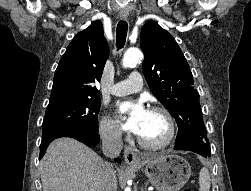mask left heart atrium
Masks as SVG:
<instances>
[{"instance_id":"39dd6f15","label":"left heart atrium","mask_w":251,"mask_h":191,"mask_svg":"<svg viewBox=\"0 0 251 191\" xmlns=\"http://www.w3.org/2000/svg\"><path fill=\"white\" fill-rule=\"evenodd\" d=\"M149 110L141 102L124 101L117 105L116 114L124 130L139 134Z\"/></svg>"}]
</instances>
